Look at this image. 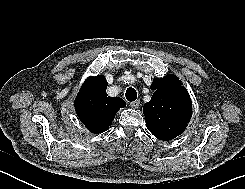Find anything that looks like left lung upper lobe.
<instances>
[{"instance_id":"5c2ea615","label":"left lung upper lobe","mask_w":245,"mask_h":189,"mask_svg":"<svg viewBox=\"0 0 245 189\" xmlns=\"http://www.w3.org/2000/svg\"><path fill=\"white\" fill-rule=\"evenodd\" d=\"M151 89L152 98L143 107L147 128L159 140H172L184 132L191 119L189 93L173 74L154 79Z\"/></svg>"}]
</instances>
